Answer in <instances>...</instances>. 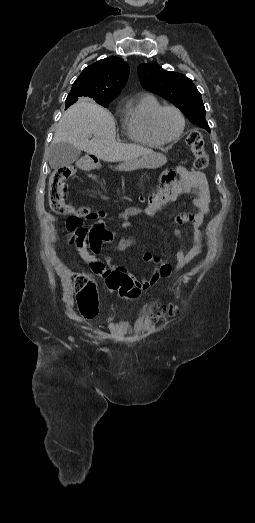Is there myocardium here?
Returning a JSON list of instances; mask_svg holds the SVG:
<instances>
[{
  "instance_id": "obj_1",
  "label": "myocardium",
  "mask_w": 255,
  "mask_h": 523,
  "mask_svg": "<svg viewBox=\"0 0 255 523\" xmlns=\"http://www.w3.org/2000/svg\"><path fill=\"white\" fill-rule=\"evenodd\" d=\"M166 109H171V110L175 111L177 113V115L179 116L180 122H181V127L179 130V133L175 137L170 138V139L163 138L159 134V132L157 130V125H156L159 115L161 114L162 111H164ZM185 126H186V120H185V116H184L183 112L174 105H161L154 111V113L152 114L151 119H150L151 132L162 143H171V142L177 141L182 136V134L185 130Z\"/></svg>"
}]
</instances>
